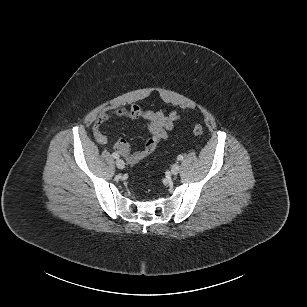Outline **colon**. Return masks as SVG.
<instances>
[{
	"instance_id": "obj_1",
	"label": "colon",
	"mask_w": 307,
	"mask_h": 307,
	"mask_svg": "<svg viewBox=\"0 0 307 307\" xmlns=\"http://www.w3.org/2000/svg\"><path fill=\"white\" fill-rule=\"evenodd\" d=\"M192 132L194 135L200 136L204 133V129L200 124H196L192 128ZM121 144H122L121 141H117L115 144V148H120L122 146Z\"/></svg>"
}]
</instances>
